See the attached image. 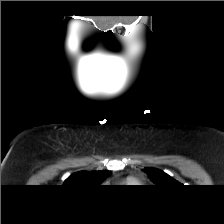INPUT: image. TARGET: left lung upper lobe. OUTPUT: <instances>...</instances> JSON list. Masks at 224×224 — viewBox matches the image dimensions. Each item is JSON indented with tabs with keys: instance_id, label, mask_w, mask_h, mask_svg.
Masks as SVG:
<instances>
[{
	"instance_id": "obj_1",
	"label": "left lung upper lobe",
	"mask_w": 224,
	"mask_h": 224,
	"mask_svg": "<svg viewBox=\"0 0 224 224\" xmlns=\"http://www.w3.org/2000/svg\"><path fill=\"white\" fill-rule=\"evenodd\" d=\"M145 170H146V173L149 176V178L158 187H162V186L170 187V186H175V185H181L179 182H177L172 177H170L168 174L164 173L163 171H161L159 169L146 167Z\"/></svg>"
}]
</instances>
